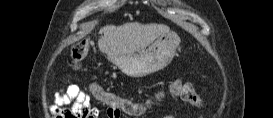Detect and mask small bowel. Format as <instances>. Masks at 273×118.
<instances>
[{
  "label": "small bowel",
  "instance_id": "obj_1",
  "mask_svg": "<svg viewBox=\"0 0 273 118\" xmlns=\"http://www.w3.org/2000/svg\"><path fill=\"white\" fill-rule=\"evenodd\" d=\"M181 98L192 104L187 97ZM60 101L71 104L70 108L61 109L57 112L62 118H98L101 114L100 108L93 106L90 97L77 85L69 86L66 93L60 98ZM106 113L109 118L120 117V113L112 106L107 107ZM166 118H175V116L168 115Z\"/></svg>",
  "mask_w": 273,
  "mask_h": 118
}]
</instances>
